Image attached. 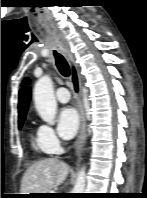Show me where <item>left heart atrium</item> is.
Wrapping results in <instances>:
<instances>
[{
  "label": "left heart atrium",
  "instance_id": "1",
  "mask_svg": "<svg viewBox=\"0 0 147 198\" xmlns=\"http://www.w3.org/2000/svg\"><path fill=\"white\" fill-rule=\"evenodd\" d=\"M79 127V115L76 109L65 107L58 114V132L65 138H72Z\"/></svg>",
  "mask_w": 147,
  "mask_h": 198
}]
</instances>
